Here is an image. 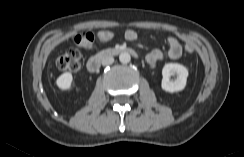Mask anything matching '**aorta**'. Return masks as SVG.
Returning <instances> with one entry per match:
<instances>
[{
    "instance_id": "obj_1",
    "label": "aorta",
    "mask_w": 244,
    "mask_h": 157,
    "mask_svg": "<svg viewBox=\"0 0 244 157\" xmlns=\"http://www.w3.org/2000/svg\"><path fill=\"white\" fill-rule=\"evenodd\" d=\"M119 60L121 63L123 64H127L130 62L131 60V56L129 53L127 52H122L120 55H119Z\"/></svg>"
}]
</instances>
